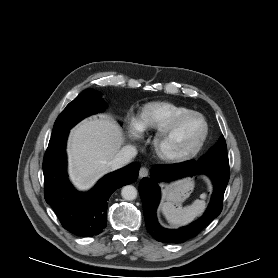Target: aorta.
<instances>
[{
	"mask_svg": "<svg viewBox=\"0 0 278 278\" xmlns=\"http://www.w3.org/2000/svg\"><path fill=\"white\" fill-rule=\"evenodd\" d=\"M121 195L124 200L132 201L137 197V189L132 185H126L122 188Z\"/></svg>",
	"mask_w": 278,
	"mask_h": 278,
	"instance_id": "1",
	"label": "aorta"
}]
</instances>
